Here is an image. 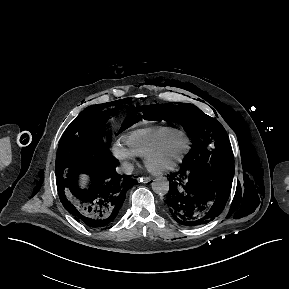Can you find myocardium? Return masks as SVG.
<instances>
[{"label":"myocardium","instance_id":"myocardium-1","mask_svg":"<svg viewBox=\"0 0 289 289\" xmlns=\"http://www.w3.org/2000/svg\"><path fill=\"white\" fill-rule=\"evenodd\" d=\"M176 138H182L184 140V149L181 152V154L176 157L172 162L169 164L162 166V167H156L153 164L154 159L159 156L164 149L167 147V145L172 142ZM191 148L190 139L189 137L182 131H177L170 137H168L166 140H164L162 143H160L158 146L151 149L145 156H144V164L146 168L154 175H162L166 174L172 171L177 170L186 160L189 151Z\"/></svg>","mask_w":289,"mask_h":289}]
</instances>
